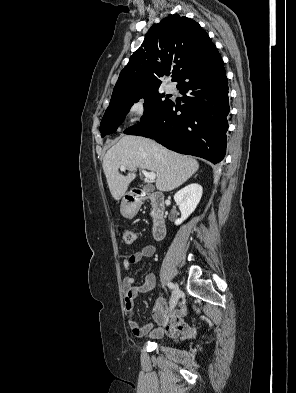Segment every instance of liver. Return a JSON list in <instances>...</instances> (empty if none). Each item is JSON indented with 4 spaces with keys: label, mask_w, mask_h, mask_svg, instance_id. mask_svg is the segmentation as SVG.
I'll return each mask as SVG.
<instances>
[{
    "label": "liver",
    "mask_w": 296,
    "mask_h": 393,
    "mask_svg": "<svg viewBox=\"0 0 296 393\" xmlns=\"http://www.w3.org/2000/svg\"><path fill=\"white\" fill-rule=\"evenodd\" d=\"M102 166L111 195L117 201L136 177L137 168L154 172L156 188L163 192L178 188L199 168L192 157L170 151L150 139L132 135L122 137L106 152ZM121 166L128 169L126 176L119 173Z\"/></svg>",
    "instance_id": "6515ba94"
}]
</instances>
